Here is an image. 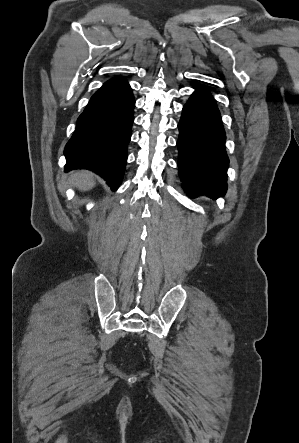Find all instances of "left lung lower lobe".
I'll return each instance as SVG.
<instances>
[{
	"instance_id": "1",
	"label": "left lung lower lobe",
	"mask_w": 299,
	"mask_h": 443,
	"mask_svg": "<svg viewBox=\"0 0 299 443\" xmlns=\"http://www.w3.org/2000/svg\"><path fill=\"white\" fill-rule=\"evenodd\" d=\"M179 174L188 196L213 199L227 190L229 159L225 131L215 100L198 88L184 106L178 124Z\"/></svg>"
}]
</instances>
